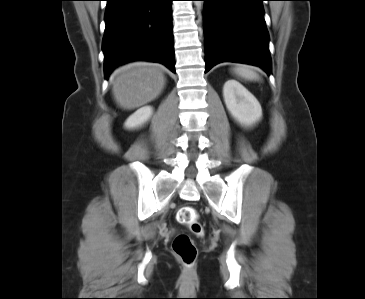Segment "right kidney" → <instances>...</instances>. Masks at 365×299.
<instances>
[{"label":"right kidney","mask_w":365,"mask_h":299,"mask_svg":"<svg viewBox=\"0 0 365 299\" xmlns=\"http://www.w3.org/2000/svg\"><path fill=\"white\" fill-rule=\"evenodd\" d=\"M153 115V108L151 106H144L138 109L135 113L128 117L124 123L127 129H134L145 124Z\"/></svg>","instance_id":"1"}]
</instances>
